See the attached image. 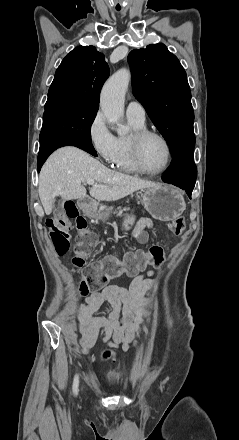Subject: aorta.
<instances>
[{"mask_svg":"<svg viewBox=\"0 0 239 440\" xmlns=\"http://www.w3.org/2000/svg\"><path fill=\"white\" fill-rule=\"evenodd\" d=\"M130 80L129 70L121 68L110 76L101 90L100 108L111 126L118 124L115 130L119 136H125L130 132L129 126L119 124V120L124 116L125 96Z\"/></svg>","mask_w":239,"mask_h":440,"instance_id":"obj_1","label":"aorta"}]
</instances>
